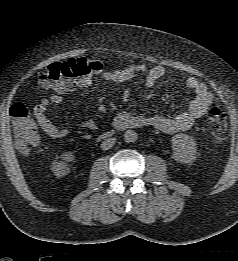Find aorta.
<instances>
[{"instance_id":"762f6f07","label":"aorta","mask_w":238,"mask_h":261,"mask_svg":"<svg viewBox=\"0 0 238 261\" xmlns=\"http://www.w3.org/2000/svg\"><path fill=\"white\" fill-rule=\"evenodd\" d=\"M138 135L134 130H127L124 133V141L127 143H133L137 140Z\"/></svg>"}]
</instances>
